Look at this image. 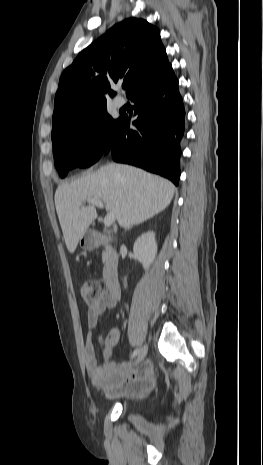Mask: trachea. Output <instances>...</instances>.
<instances>
[{"label": "trachea", "instance_id": "1", "mask_svg": "<svg viewBox=\"0 0 263 465\" xmlns=\"http://www.w3.org/2000/svg\"><path fill=\"white\" fill-rule=\"evenodd\" d=\"M122 87H123V89H126L128 87V85H123Z\"/></svg>", "mask_w": 263, "mask_h": 465}]
</instances>
